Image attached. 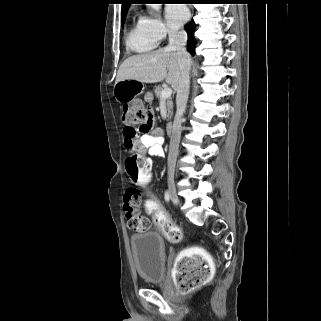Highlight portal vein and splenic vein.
I'll return each instance as SVG.
<instances>
[{
  "label": "portal vein and splenic vein",
  "mask_w": 321,
  "mask_h": 321,
  "mask_svg": "<svg viewBox=\"0 0 321 321\" xmlns=\"http://www.w3.org/2000/svg\"><path fill=\"white\" fill-rule=\"evenodd\" d=\"M172 94V89L169 87H165L161 92V99H166L170 97Z\"/></svg>",
  "instance_id": "1"
}]
</instances>
